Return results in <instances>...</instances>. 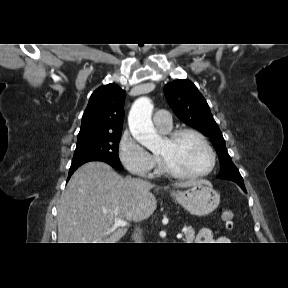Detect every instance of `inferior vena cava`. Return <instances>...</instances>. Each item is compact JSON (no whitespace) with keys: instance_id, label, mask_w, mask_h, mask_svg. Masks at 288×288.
I'll return each mask as SVG.
<instances>
[{"instance_id":"inferior-vena-cava-1","label":"inferior vena cava","mask_w":288,"mask_h":288,"mask_svg":"<svg viewBox=\"0 0 288 288\" xmlns=\"http://www.w3.org/2000/svg\"><path fill=\"white\" fill-rule=\"evenodd\" d=\"M137 231H139V229H137ZM141 240H142L141 235L136 234L135 243H142Z\"/></svg>"}]
</instances>
